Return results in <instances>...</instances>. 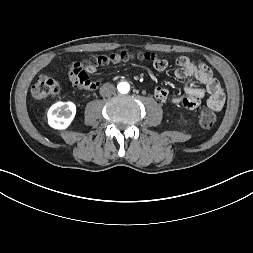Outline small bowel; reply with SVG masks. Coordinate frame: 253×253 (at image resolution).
I'll list each match as a JSON object with an SVG mask.
<instances>
[{
	"label": "small bowel",
	"instance_id": "1",
	"mask_svg": "<svg viewBox=\"0 0 253 253\" xmlns=\"http://www.w3.org/2000/svg\"><path fill=\"white\" fill-rule=\"evenodd\" d=\"M174 65L172 59L167 58L164 61L159 59L151 62L150 67L154 71L161 72L164 68L170 69ZM178 69L176 76L178 78H189V80H197L205 86L206 92L209 94L207 104L214 110L222 109L225 102V94L218 80L213 76L211 70L202 64H195L187 57H180L177 60ZM205 90L194 87L188 82L184 87V93L179 97L169 99L168 90L163 87H156L154 97L160 102L170 100L171 103L180 104L185 110L194 109L199 106L205 97Z\"/></svg>",
	"mask_w": 253,
	"mask_h": 253
}]
</instances>
